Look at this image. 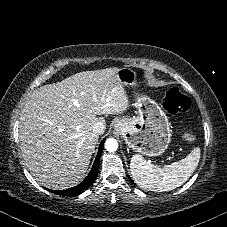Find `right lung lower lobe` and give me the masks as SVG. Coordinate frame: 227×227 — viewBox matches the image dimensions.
Wrapping results in <instances>:
<instances>
[{
    "label": "right lung lower lobe",
    "instance_id": "obj_1",
    "mask_svg": "<svg viewBox=\"0 0 227 227\" xmlns=\"http://www.w3.org/2000/svg\"><path fill=\"white\" fill-rule=\"evenodd\" d=\"M104 141H105V139H103L102 142L100 143L98 154L94 161L93 167H92L90 173L88 174V176L85 178V180L82 183H80L79 185H77L75 187L67 189V190H62V191H54V190H49V189H47V190L51 191L53 193L59 194V195L73 196V195H79L82 192H84V190L88 189L94 183V181L97 177L98 170H99L100 156L102 153Z\"/></svg>",
    "mask_w": 227,
    "mask_h": 227
}]
</instances>
